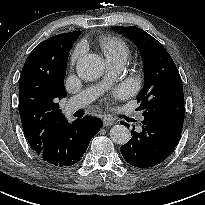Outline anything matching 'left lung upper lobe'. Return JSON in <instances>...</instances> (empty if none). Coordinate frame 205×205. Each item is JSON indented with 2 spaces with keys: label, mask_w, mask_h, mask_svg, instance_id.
I'll return each instance as SVG.
<instances>
[{
  "label": "left lung upper lobe",
  "mask_w": 205,
  "mask_h": 205,
  "mask_svg": "<svg viewBox=\"0 0 205 205\" xmlns=\"http://www.w3.org/2000/svg\"><path fill=\"white\" fill-rule=\"evenodd\" d=\"M139 48L145 64V84L137 101L144 117L161 108L184 107V94L179 71L163 45L144 30L135 27H115Z\"/></svg>",
  "instance_id": "obj_1"
}]
</instances>
